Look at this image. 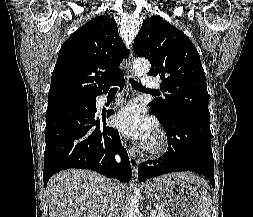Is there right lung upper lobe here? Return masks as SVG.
Segmentation results:
<instances>
[{
    "label": "right lung upper lobe",
    "mask_w": 253,
    "mask_h": 217,
    "mask_svg": "<svg viewBox=\"0 0 253 217\" xmlns=\"http://www.w3.org/2000/svg\"><path fill=\"white\" fill-rule=\"evenodd\" d=\"M128 55L115 20L105 15L93 18L62 45L48 102L96 97L107 92L123 76L118 66Z\"/></svg>",
    "instance_id": "obj_1"
}]
</instances>
